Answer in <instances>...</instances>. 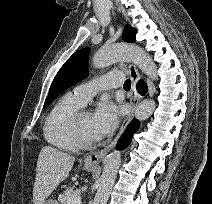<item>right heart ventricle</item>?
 Returning <instances> with one entry per match:
<instances>
[{
  "label": "right heart ventricle",
  "instance_id": "right-heart-ventricle-1",
  "mask_svg": "<svg viewBox=\"0 0 212 204\" xmlns=\"http://www.w3.org/2000/svg\"><path fill=\"white\" fill-rule=\"evenodd\" d=\"M84 105L72 94L62 96L49 111L43 126L45 140L59 150L75 151L76 146L70 131L72 116Z\"/></svg>",
  "mask_w": 212,
  "mask_h": 204
}]
</instances>
